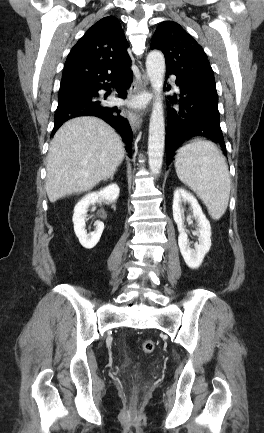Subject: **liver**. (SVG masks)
<instances>
[{"mask_svg": "<svg viewBox=\"0 0 264 433\" xmlns=\"http://www.w3.org/2000/svg\"><path fill=\"white\" fill-rule=\"evenodd\" d=\"M120 136L96 117H77L54 135L47 157L45 189L51 203L95 187L124 158Z\"/></svg>", "mask_w": 264, "mask_h": 433, "instance_id": "1", "label": "liver"}]
</instances>
